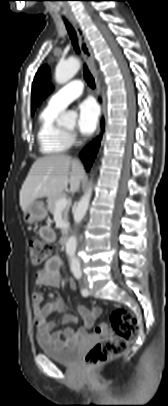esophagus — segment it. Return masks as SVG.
Instances as JSON below:
<instances>
[{"label": "esophagus", "mask_w": 168, "mask_h": 406, "mask_svg": "<svg viewBox=\"0 0 168 406\" xmlns=\"http://www.w3.org/2000/svg\"><path fill=\"white\" fill-rule=\"evenodd\" d=\"M71 21L77 31L78 38H79V45H80L82 54L84 56V59L86 60V63L94 77L97 94L100 96L101 95L100 84L98 81L97 74L95 73V61H94L93 53L90 48L89 42H88L85 32H84L83 28L80 26V24L73 18L71 19ZM101 107H102V115H103L104 110H105L103 103L101 104ZM100 133H101V126L98 127L96 136H99Z\"/></svg>", "instance_id": "1"}]
</instances>
